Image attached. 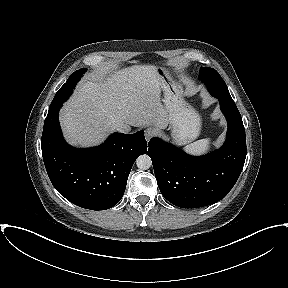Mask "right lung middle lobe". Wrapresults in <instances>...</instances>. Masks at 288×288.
<instances>
[{
  "label": "right lung middle lobe",
  "mask_w": 288,
  "mask_h": 288,
  "mask_svg": "<svg viewBox=\"0 0 288 288\" xmlns=\"http://www.w3.org/2000/svg\"><path fill=\"white\" fill-rule=\"evenodd\" d=\"M86 68H82L80 70L75 71L67 80V82L58 90L56 93L49 109L61 105L63 102H65L69 96L73 92V88L75 87L76 83L80 80L81 75L86 72Z\"/></svg>",
  "instance_id": "obj_1"
}]
</instances>
